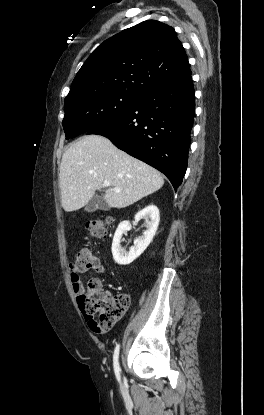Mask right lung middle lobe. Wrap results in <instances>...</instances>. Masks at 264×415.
I'll list each match as a JSON object with an SVG mask.
<instances>
[{"mask_svg": "<svg viewBox=\"0 0 264 415\" xmlns=\"http://www.w3.org/2000/svg\"><path fill=\"white\" fill-rule=\"evenodd\" d=\"M141 96L107 92L65 100L63 128L66 139L76 137L129 111Z\"/></svg>", "mask_w": 264, "mask_h": 415, "instance_id": "right-lung-middle-lobe-1", "label": "right lung middle lobe"}]
</instances>
